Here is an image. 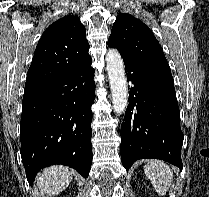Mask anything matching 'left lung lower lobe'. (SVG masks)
Instances as JSON below:
<instances>
[{"instance_id":"0a47b994","label":"left lung lower lobe","mask_w":209,"mask_h":197,"mask_svg":"<svg viewBox=\"0 0 209 197\" xmlns=\"http://www.w3.org/2000/svg\"><path fill=\"white\" fill-rule=\"evenodd\" d=\"M133 83L121 124V161L128 170L139 159L165 160L183 168V133L172 74L124 61Z\"/></svg>"}]
</instances>
